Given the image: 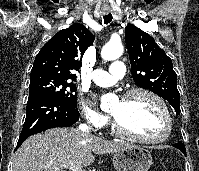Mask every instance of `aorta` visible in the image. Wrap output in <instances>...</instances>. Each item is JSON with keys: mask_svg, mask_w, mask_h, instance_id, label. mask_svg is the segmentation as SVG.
<instances>
[{"mask_svg": "<svg viewBox=\"0 0 199 171\" xmlns=\"http://www.w3.org/2000/svg\"><path fill=\"white\" fill-rule=\"evenodd\" d=\"M123 53V46L120 43H107L102 51L101 56L104 60H115L119 58ZM113 96L110 94L103 95L101 97V108L105 109L110 105Z\"/></svg>", "mask_w": 199, "mask_h": 171, "instance_id": "762f6f07", "label": "aorta"}]
</instances>
